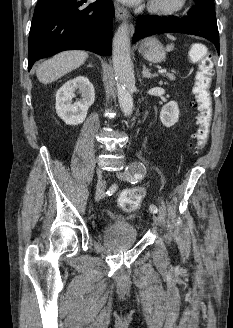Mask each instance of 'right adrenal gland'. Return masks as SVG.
Returning a JSON list of instances; mask_svg holds the SVG:
<instances>
[{"label": "right adrenal gland", "mask_w": 233, "mask_h": 328, "mask_svg": "<svg viewBox=\"0 0 233 328\" xmlns=\"http://www.w3.org/2000/svg\"><path fill=\"white\" fill-rule=\"evenodd\" d=\"M87 67H92V64L90 63Z\"/></svg>", "instance_id": "obj_1"}]
</instances>
